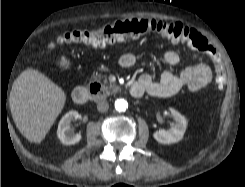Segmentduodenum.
I'll return each instance as SVG.
<instances>
[{
    "label": "duodenum",
    "mask_w": 245,
    "mask_h": 187,
    "mask_svg": "<svg viewBox=\"0 0 245 187\" xmlns=\"http://www.w3.org/2000/svg\"><path fill=\"white\" fill-rule=\"evenodd\" d=\"M130 91L134 97H140L143 94V89L139 84H132L130 86ZM100 94H101V88L99 85H93L89 88L79 86L74 89L72 97H73V101L76 104L81 105L88 102L92 97L98 96Z\"/></svg>",
    "instance_id": "obj_1"
}]
</instances>
